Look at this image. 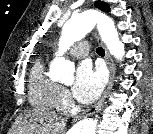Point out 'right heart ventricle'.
Masks as SVG:
<instances>
[{
  "label": "right heart ventricle",
  "mask_w": 153,
  "mask_h": 134,
  "mask_svg": "<svg viewBox=\"0 0 153 134\" xmlns=\"http://www.w3.org/2000/svg\"><path fill=\"white\" fill-rule=\"evenodd\" d=\"M29 82V99L34 106L48 110L59 109L61 87L46 74L43 59L34 63Z\"/></svg>",
  "instance_id": "e07e8e85"
}]
</instances>
